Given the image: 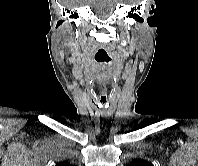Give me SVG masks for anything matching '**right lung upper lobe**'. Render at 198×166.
<instances>
[{"mask_svg": "<svg viewBox=\"0 0 198 166\" xmlns=\"http://www.w3.org/2000/svg\"><path fill=\"white\" fill-rule=\"evenodd\" d=\"M56 166H71V165L68 162H62V163L56 164Z\"/></svg>", "mask_w": 198, "mask_h": 166, "instance_id": "right-lung-upper-lobe-1", "label": "right lung upper lobe"}]
</instances>
